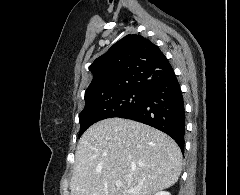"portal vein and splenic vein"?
Wrapping results in <instances>:
<instances>
[{"instance_id": "portal-vein-and-splenic-vein-1", "label": "portal vein and splenic vein", "mask_w": 240, "mask_h": 195, "mask_svg": "<svg viewBox=\"0 0 240 195\" xmlns=\"http://www.w3.org/2000/svg\"><path fill=\"white\" fill-rule=\"evenodd\" d=\"M116 187H118V189H121L122 187L121 181H116ZM126 191H128V193H136V189H126Z\"/></svg>"}]
</instances>
